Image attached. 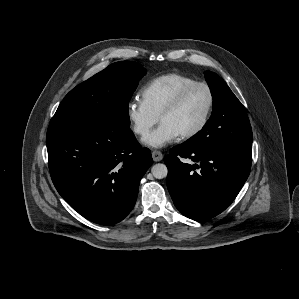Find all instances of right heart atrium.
Here are the masks:
<instances>
[{
  "mask_svg": "<svg viewBox=\"0 0 299 299\" xmlns=\"http://www.w3.org/2000/svg\"><path fill=\"white\" fill-rule=\"evenodd\" d=\"M126 114L134 133L142 137L149 133L159 119L140 99L127 103Z\"/></svg>",
  "mask_w": 299,
  "mask_h": 299,
  "instance_id": "d8ad5b80",
  "label": "right heart atrium"
}]
</instances>
